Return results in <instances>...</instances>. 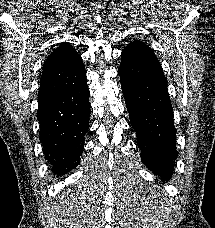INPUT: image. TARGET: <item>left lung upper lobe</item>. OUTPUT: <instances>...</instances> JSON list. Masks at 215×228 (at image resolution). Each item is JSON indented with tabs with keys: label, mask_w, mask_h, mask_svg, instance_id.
<instances>
[{
	"label": "left lung upper lobe",
	"mask_w": 215,
	"mask_h": 228,
	"mask_svg": "<svg viewBox=\"0 0 215 228\" xmlns=\"http://www.w3.org/2000/svg\"><path fill=\"white\" fill-rule=\"evenodd\" d=\"M125 51H138L145 53H153L152 49L140 41H134L126 46Z\"/></svg>",
	"instance_id": "left-lung-upper-lobe-1"
}]
</instances>
